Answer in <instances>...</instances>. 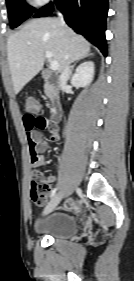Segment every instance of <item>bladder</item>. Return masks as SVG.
<instances>
[{"instance_id": "bladder-1", "label": "bladder", "mask_w": 134, "mask_h": 281, "mask_svg": "<svg viewBox=\"0 0 134 281\" xmlns=\"http://www.w3.org/2000/svg\"><path fill=\"white\" fill-rule=\"evenodd\" d=\"M80 224L77 218L64 211L48 215L35 224V232L39 235L49 236L55 239L72 238L79 231Z\"/></svg>"}]
</instances>
